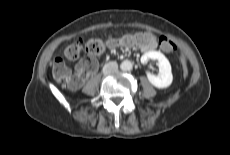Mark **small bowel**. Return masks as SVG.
I'll list each match as a JSON object with an SVG mask.
<instances>
[{"label": "small bowel", "instance_id": "small-bowel-1", "mask_svg": "<svg viewBox=\"0 0 230 155\" xmlns=\"http://www.w3.org/2000/svg\"><path fill=\"white\" fill-rule=\"evenodd\" d=\"M143 34H145L147 37H149L150 40L148 43L140 45L141 49L143 51H146V52L156 49L157 43H156V40L154 38V35L151 32H145ZM118 45H119V42L115 39H111L108 42V46L111 49L116 48Z\"/></svg>", "mask_w": 230, "mask_h": 155}]
</instances>
